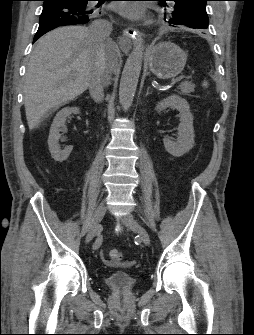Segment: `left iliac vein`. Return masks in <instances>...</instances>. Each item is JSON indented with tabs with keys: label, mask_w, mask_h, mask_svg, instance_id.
<instances>
[{
	"label": "left iliac vein",
	"mask_w": 254,
	"mask_h": 335,
	"mask_svg": "<svg viewBox=\"0 0 254 335\" xmlns=\"http://www.w3.org/2000/svg\"><path fill=\"white\" fill-rule=\"evenodd\" d=\"M120 220L123 224L136 231L146 246L150 245L151 240L148 232L135 220L133 215L126 214L125 216L121 217Z\"/></svg>",
	"instance_id": "left-iliac-vein-1"
}]
</instances>
